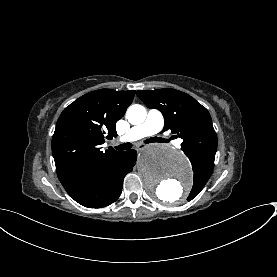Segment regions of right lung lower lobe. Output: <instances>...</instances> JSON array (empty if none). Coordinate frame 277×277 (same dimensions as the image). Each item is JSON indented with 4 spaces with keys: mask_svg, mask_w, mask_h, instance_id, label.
<instances>
[{
    "mask_svg": "<svg viewBox=\"0 0 277 277\" xmlns=\"http://www.w3.org/2000/svg\"><path fill=\"white\" fill-rule=\"evenodd\" d=\"M135 150L119 152L97 163L64 186L79 204L88 208H101L115 202L123 187L125 175L136 163Z\"/></svg>",
    "mask_w": 277,
    "mask_h": 277,
    "instance_id": "right-lung-lower-lobe-1",
    "label": "right lung lower lobe"
}]
</instances>
